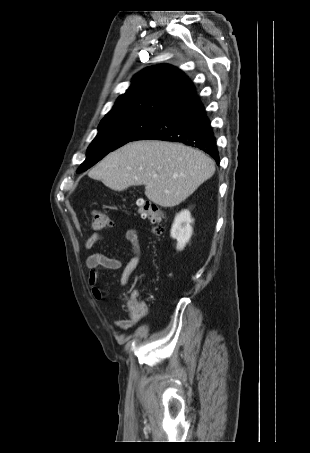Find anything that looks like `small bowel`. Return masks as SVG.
Segmentation results:
<instances>
[{"label":"small bowel","mask_w":310,"mask_h":453,"mask_svg":"<svg viewBox=\"0 0 310 453\" xmlns=\"http://www.w3.org/2000/svg\"><path fill=\"white\" fill-rule=\"evenodd\" d=\"M103 240V235L94 233L89 236L84 242V248L91 249L96 244ZM126 240L129 242L132 249V256L122 268L123 262L119 258L109 257L102 253H93L86 259L87 267L89 268L88 283L91 288L93 297L97 300L102 298L103 292L99 285V277L102 271H118L121 270L117 277V281L123 287L127 286L130 275L137 268L142 257V251L139 242V232L135 228H130L126 232ZM141 317H133L128 315L125 318H117L114 320L116 327L122 330H127L133 327Z\"/></svg>","instance_id":"obj_1"}]
</instances>
